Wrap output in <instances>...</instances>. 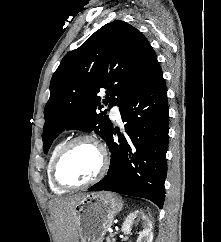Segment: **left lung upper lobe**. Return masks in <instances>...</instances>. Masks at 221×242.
Listing matches in <instances>:
<instances>
[{"mask_svg":"<svg viewBox=\"0 0 221 242\" xmlns=\"http://www.w3.org/2000/svg\"><path fill=\"white\" fill-rule=\"evenodd\" d=\"M159 67L143 34L116 20L102 26L79 48L62 59L50 82L44 110L43 148L65 129L94 130L104 140L113 126L103 105L120 106ZM107 89L105 98L98 95Z\"/></svg>","mask_w":221,"mask_h":242,"instance_id":"left-lung-upper-lobe-1","label":"left lung upper lobe"}]
</instances>
